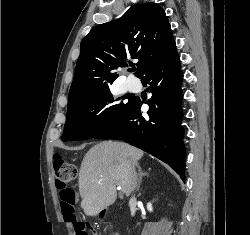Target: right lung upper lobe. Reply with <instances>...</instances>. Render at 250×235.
Instances as JSON below:
<instances>
[{"instance_id":"right-lung-upper-lobe-1","label":"right lung upper lobe","mask_w":250,"mask_h":235,"mask_svg":"<svg viewBox=\"0 0 250 235\" xmlns=\"http://www.w3.org/2000/svg\"><path fill=\"white\" fill-rule=\"evenodd\" d=\"M173 40L164 10L156 3L132 6L120 19L94 27L81 42L68 103L112 84V71L138 59L141 78L170 49Z\"/></svg>"}]
</instances>
